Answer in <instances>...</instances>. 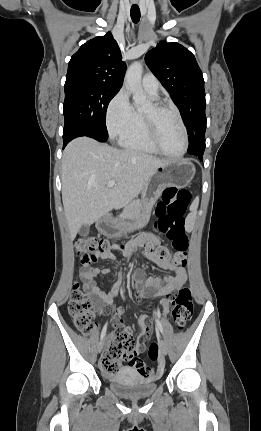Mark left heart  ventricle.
Segmentation results:
<instances>
[{
	"instance_id": "left-heart-ventricle-1",
	"label": "left heart ventricle",
	"mask_w": 261,
	"mask_h": 431,
	"mask_svg": "<svg viewBox=\"0 0 261 431\" xmlns=\"http://www.w3.org/2000/svg\"><path fill=\"white\" fill-rule=\"evenodd\" d=\"M151 105L144 111L150 113ZM158 139L162 148L171 155L179 154L184 146L182 129L176 115L171 111H164L156 116Z\"/></svg>"
}]
</instances>
